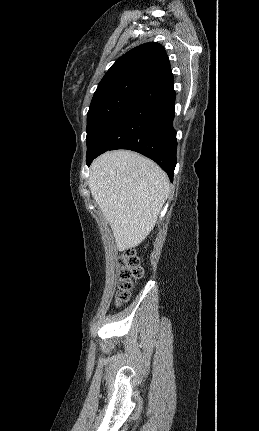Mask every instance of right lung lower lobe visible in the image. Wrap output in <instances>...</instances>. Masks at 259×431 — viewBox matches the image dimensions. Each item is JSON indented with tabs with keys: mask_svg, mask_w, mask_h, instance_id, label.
Masks as SVG:
<instances>
[{
	"mask_svg": "<svg viewBox=\"0 0 259 431\" xmlns=\"http://www.w3.org/2000/svg\"><path fill=\"white\" fill-rule=\"evenodd\" d=\"M174 105L173 82L149 91L112 123L87 152V165L105 151L129 149L154 160L172 181L177 150Z\"/></svg>",
	"mask_w": 259,
	"mask_h": 431,
	"instance_id": "obj_1",
	"label": "right lung lower lobe"
}]
</instances>
